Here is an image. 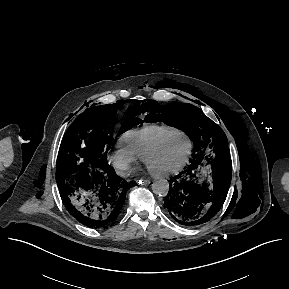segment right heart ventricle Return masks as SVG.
I'll use <instances>...</instances> for the list:
<instances>
[{
    "instance_id": "obj_1",
    "label": "right heart ventricle",
    "mask_w": 289,
    "mask_h": 289,
    "mask_svg": "<svg viewBox=\"0 0 289 289\" xmlns=\"http://www.w3.org/2000/svg\"><path fill=\"white\" fill-rule=\"evenodd\" d=\"M176 130V128L167 125H145L124 133L120 142L137 157H142L155 143Z\"/></svg>"
}]
</instances>
